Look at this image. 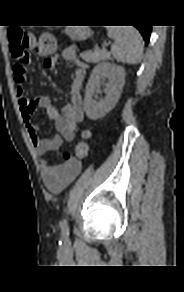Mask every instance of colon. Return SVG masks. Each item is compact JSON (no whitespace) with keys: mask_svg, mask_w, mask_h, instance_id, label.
I'll list each match as a JSON object with an SVG mask.
<instances>
[{"mask_svg":"<svg viewBox=\"0 0 184 292\" xmlns=\"http://www.w3.org/2000/svg\"><path fill=\"white\" fill-rule=\"evenodd\" d=\"M8 39L11 46L12 56L17 60L18 64L22 67L26 66L29 60L28 49L33 44V37L18 27H11L8 30ZM37 52L42 56H50L57 51V43L55 38L48 33H44L40 36L37 45ZM83 140L80 141L73 153H64L63 159L65 161H71L73 159L85 158L88 154V143L89 132L85 131L82 134Z\"/></svg>","mask_w":184,"mask_h":292,"instance_id":"obj_1","label":"colon"}]
</instances>
